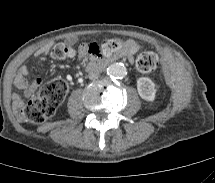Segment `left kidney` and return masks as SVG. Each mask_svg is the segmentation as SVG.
<instances>
[{"label": "left kidney", "instance_id": "5707ae66", "mask_svg": "<svg viewBox=\"0 0 215 183\" xmlns=\"http://www.w3.org/2000/svg\"><path fill=\"white\" fill-rule=\"evenodd\" d=\"M137 90L142 99L146 101H153L155 99L156 89L151 79L140 77L137 80Z\"/></svg>", "mask_w": 215, "mask_h": 183}]
</instances>
